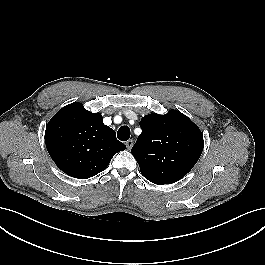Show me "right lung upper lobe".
<instances>
[{
    "label": "right lung upper lobe",
    "mask_w": 265,
    "mask_h": 265,
    "mask_svg": "<svg viewBox=\"0 0 265 265\" xmlns=\"http://www.w3.org/2000/svg\"><path fill=\"white\" fill-rule=\"evenodd\" d=\"M45 143L56 165L78 179L105 170L112 157L126 149L115 131L103 124L101 114L86 110L81 103L57 112L46 127Z\"/></svg>",
    "instance_id": "right-lung-upper-lobe-1"
}]
</instances>
